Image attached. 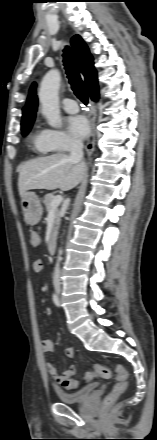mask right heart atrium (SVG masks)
I'll return each instance as SVG.
<instances>
[{
	"label": "right heart atrium",
	"instance_id": "right-heart-atrium-1",
	"mask_svg": "<svg viewBox=\"0 0 157 440\" xmlns=\"http://www.w3.org/2000/svg\"><path fill=\"white\" fill-rule=\"evenodd\" d=\"M46 139L51 148L55 151H67L78 145V141L59 129H47Z\"/></svg>",
	"mask_w": 157,
	"mask_h": 440
}]
</instances>
